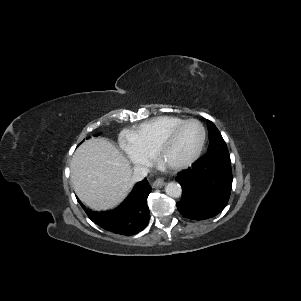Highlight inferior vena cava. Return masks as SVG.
Returning a JSON list of instances; mask_svg holds the SVG:
<instances>
[{"mask_svg":"<svg viewBox=\"0 0 301 301\" xmlns=\"http://www.w3.org/2000/svg\"><path fill=\"white\" fill-rule=\"evenodd\" d=\"M149 173V169L145 166L142 165H136L133 168V175L131 178L132 182H138L141 181L142 179H144L147 174Z\"/></svg>","mask_w":301,"mask_h":301,"instance_id":"obj_1","label":"inferior vena cava"}]
</instances>
